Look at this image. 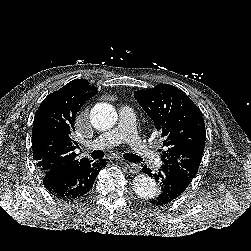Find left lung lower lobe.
Returning a JSON list of instances; mask_svg holds the SVG:
<instances>
[{"label":"left lung lower lobe","mask_w":251,"mask_h":251,"mask_svg":"<svg viewBox=\"0 0 251 251\" xmlns=\"http://www.w3.org/2000/svg\"><path fill=\"white\" fill-rule=\"evenodd\" d=\"M142 171L145 174L154 176L156 181L159 179L162 181V192L151 200V203L162 205L171 202V200L178 197L190 184L192 179H188L180 172L170 168L163 164L158 173L153 174L152 171L146 166L143 167Z\"/></svg>","instance_id":"obj_1"}]
</instances>
